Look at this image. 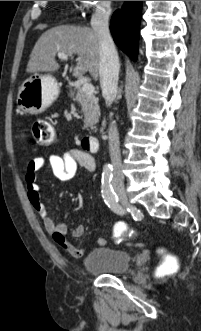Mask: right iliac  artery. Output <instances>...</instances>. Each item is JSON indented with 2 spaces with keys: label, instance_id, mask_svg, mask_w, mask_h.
Returning a JSON list of instances; mask_svg holds the SVG:
<instances>
[{
  "label": "right iliac artery",
  "instance_id": "82829eb1",
  "mask_svg": "<svg viewBox=\"0 0 201 331\" xmlns=\"http://www.w3.org/2000/svg\"><path fill=\"white\" fill-rule=\"evenodd\" d=\"M112 167L106 166L102 173V185H101V193L105 203L108 207L115 213L119 215H123L125 210L119 205L118 197L114 192L111 180H112Z\"/></svg>",
  "mask_w": 201,
  "mask_h": 331
}]
</instances>
